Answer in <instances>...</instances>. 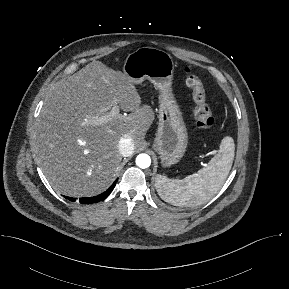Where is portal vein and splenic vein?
<instances>
[{
  "mask_svg": "<svg viewBox=\"0 0 289 289\" xmlns=\"http://www.w3.org/2000/svg\"><path fill=\"white\" fill-rule=\"evenodd\" d=\"M118 114H119V107L118 106H114L108 113L104 114L103 116L95 117L93 119V123H95V124L107 123L108 121H110L112 118H114Z\"/></svg>",
  "mask_w": 289,
  "mask_h": 289,
  "instance_id": "1",
  "label": "portal vein and splenic vein"
}]
</instances>
